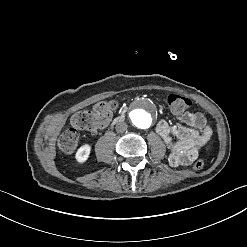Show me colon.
Listing matches in <instances>:
<instances>
[{
	"mask_svg": "<svg viewBox=\"0 0 247 247\" xmlns=\"http://www.w3.org/2000/svg\"><path fill=\"white\" fill-rule=\"evenodd\" d=\"M167 102L173 106L175 111L187 109L190 106V101L179 95L170 94L167 97ZM114 103L108 100L100 101L95 107H90L89 113L84 111L77 112L72 117V122L77 127L88 128L93 125H101L108 120V113L113 109ZM79 133L76 128L66 130L58 138V150L63 154L72 153L78 143ZM204 167V160H195L192 164V169L199 171Z\"/></svg>",
	"mask_w": 247,
	"mask_h": 247,
	"instance_id": "obj_1",
	"label": "colon"
}]
</instances>
